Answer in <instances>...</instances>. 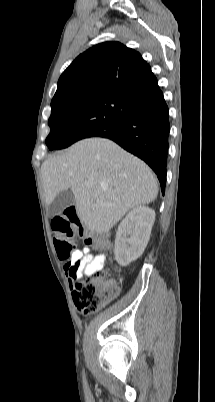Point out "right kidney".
Segmentation results:
<instances>
[{"mask_svg": "<svg viewBox=\"0 0 215 402\" xmlns=\"http://www.w3.org/2000/svg\"><path fill=\"white\" fill-rule=\"evenodd\" d=\"M155 221V211L146 206L133 208L118 226L115 238V259L127 266L145 250Z\"/></svg>", "mask_w": 215, "mask_h": 402, "instance_id": "1", "label": "right kidney"}]
</instances>
